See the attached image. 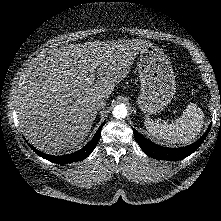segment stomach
<instances>
[{"mask_svg": "<svg viewBox=\"0 0 221 221\" xmlns=\"http://www.w3.org/2000/svg\"><path fill=\"white\" fill-rule=\"evenodd\" d=\"M138 72L141 83L139 108L148 114L163 110L176 92L175 75L169 59L150 45L140 52Z\"/></svg>", "mask_w": 221, "mask_h": 221, "instance_id": "obj_1", "label": "stomach"}]
</instances>
